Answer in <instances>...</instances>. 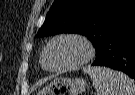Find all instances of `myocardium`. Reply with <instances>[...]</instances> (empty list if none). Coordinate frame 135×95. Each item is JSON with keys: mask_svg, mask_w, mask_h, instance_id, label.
I'll return each instance as SVG.
<instances>
[{"mask_svg": "<svg viewBox=\"0 0 135 95\" xmlns=\"http://www.w3.org/2000/svg\"><path fill=\"white\" fill-rule=\"evenodd\" d=\"M61 40H75V41L79 42L80 44H82V46L85 49V55L82 59H80L78 62H76L72 65H69L66 67H60V68H52L47 63L48 54H49L51 47L56 42L61 41ZM94 54H95L94 45L87 37H85L84 35L78 34V33H65V34L58 35L49 41V43L47 44V46L44 50V54H43V66L45 69L52 71V72L70 71V70L77 69V68L83 66L84 64H86L87 62H89L93 58Z\"/></svg>", "mask_w": 135, "mask_h": 95, "instance_id": "1", "label": "myocardium"}]
</instances>
